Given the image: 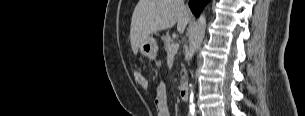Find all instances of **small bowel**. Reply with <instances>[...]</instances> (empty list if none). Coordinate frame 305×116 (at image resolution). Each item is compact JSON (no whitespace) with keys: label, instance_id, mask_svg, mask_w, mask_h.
Instances as JSON below:
<instances>
[{"label":"small bowel","instance_id":"c3829d8e","mask_svg":"<svg viewBox=\"0 0 305 116\" xmlns=\"http://www.w3.org/2000/svg\"><path fill=\"white\" fill-rule=\"evenodd\" d=\"M156 100L155 105L158 111V116H170L169 107L166 98V89L163 82H158L156 85Z\"/></svg>","mask_w":305,"mask_h":116}]
</instances>
